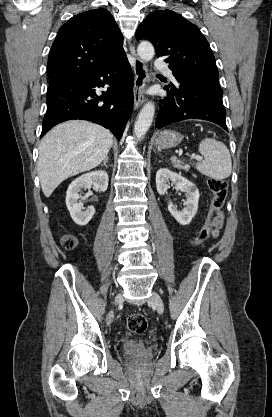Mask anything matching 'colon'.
I'll list each match as a JSON object with an SVG mask.
<instances>
[{
  "label": "colon",
  "instance_id": "5ec220e1",
  "mask_svg": "<svg viewBox=\"0 0 272 417\" xmlns=\"http://www.w3.org/2000/svg\"><path fill=\"white\" fill-rule=\"evenodd\" d=\"M209 188L213 193L210 212L206 222L203 224L197 235L191 240L193 244H198L210 237L213 230V219L222 209L226 200L228 184L225 180L217 178L211 179L209 180ZM62 245L65 249L72 250L77 245V239L73 235H64L62 238ZM127 324L129 330L133 333H143L148 327L146 317L139 313L129 316Z\"/></svg>",
  "mask_w": 272,
  "mask_h": 417
}]
</instances>
